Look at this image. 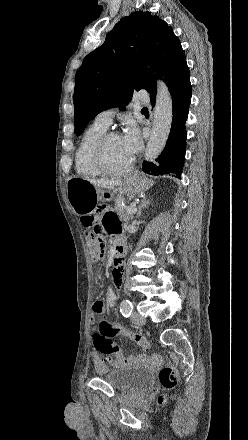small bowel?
Here are the masks:
<instances>
[{
  "instance_id": "small-bowel-1",
  "label": "small bowel",
  "mask_w": 248,
  "mask_h": 440,
  "mask_svg": "<svg viewBox=\"0 0 248 440\" xmlns=\"http://www.w3.org/2000/svg\"><path fill=\"white\" fill-rule=\"evenodd\" d=\"M102 223L105 230L111 234L115 239L120 240L121 237V223L118 216L112 211H105L102 216ZM125 259L123 257H116L114 259V267L112 270L113 281L116 286H120L123 280V265ZM115 300V293L113 289H109L107 292L108 305H113ZM106 309V304L103 301H96L92 307V320L101 316ZM153 360V357L148 355L131 356L129 359H125L124 363H147ZM93 362L98 372L107 369L108 364L112 363L109 358L102 359L99 353H95L93 356Z\"/></svg>"
}]
</instances>
